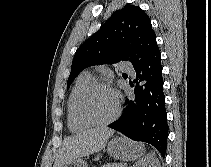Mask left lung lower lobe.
Listing matches in <instances>:
<instances>
[{
  "mask_svg": "<svg viewBox=\"0 0 211 167\" xmlns=\"http://www.w3.org/2000/svg\"><path fill=\"white\" fill-rule=\"evenodd\" d=\"M160 55L157 47L143 63L134 67V97L126 100L123 115L109 127L132 140L153 145L165 157L168 124Z\"/></svg>",
  "mask_w": 211,
  "mask_h": 167,
  "instance_id": "left-lung-lower-lobe-1",
  "label": "left lung lower lobe"
}]
</instances>
